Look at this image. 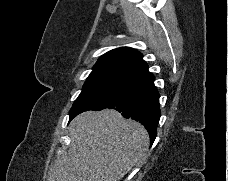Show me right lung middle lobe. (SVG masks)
Masks as SVG:
<instances>
[{
    "label": "right lung middle lobe",
    "mask_w": 228,
    "mask_h": 181,
    "mask_svg": "<svg viewBox=\"0 0 228 181\" xmlns=\"http://www.w3.org/2000/svg\"><path fill=\"white\" fill-rule=\"evenodd\" d=\"M130 80L114 77H88L82 92L73 104L70 119L77 114L95 108L118 95Z\"/></svg>",
    "instance_id": "1"
}]
</instances>
